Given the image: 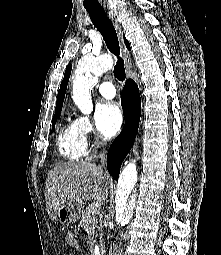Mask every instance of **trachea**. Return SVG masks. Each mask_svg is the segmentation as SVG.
<instances>
[{
    "label": "trachea",
    "mask_w": 221,
    "mask_h": 255,
    "mask_svg": "<svg viewBox=\"0 0 221 255\" xmlns=\"http://www.w3.org/2000/svg\"><path fill=\"white\" fill-rule=\"evenodd\" d=\"M88 11L91 21L94 26L100 31L103 39L107 45V48L117 57L116 65L114 66V76L119 82H123L125 79V68L124 61L119 56L120 47L118 42V37L116 30L113 26L112 21L108 18L103 8L100 9H90L86 8Z\"/></svg>",
    "instance_id": "obj_1"
}]
</instances>
